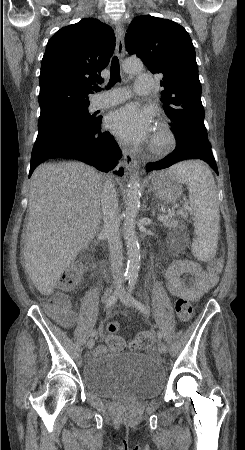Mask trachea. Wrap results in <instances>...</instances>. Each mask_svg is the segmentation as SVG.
<instances>
[{
  "label": "trachea",
  "instance_id": "trachea-1",
  "mask_svg": "<svg viewBox=\"0 0 245 450\" xmlns=\"http://www.w3.org/2000/svg\"><path fill=\"white\" fill-rule=\"evenodd\" d=\"M110 81L108 83V87L114 85L117 81H120V65H119V60L117 56H114L112 58V62H111V68H110ZM94 91L98 92L101 90V88L99 86H95L93 88Z\"/></svg>",
  "mask_w": 245,
  "mask_h": 450
}]
</instances>
